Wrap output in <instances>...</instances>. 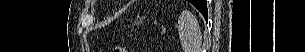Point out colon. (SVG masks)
<instances>
[{"mask_svg":"<svg viewBox=\"0 0 305 52\" xmlns=\"http://www.w3.org/2000/svg\"><path fill=\"white\" fill-rule=\"evenodd\" d=\"M113 52H125V49L121 46H114Z\"/></svg>","mask_w":305,"mask_h":52,"instance_id":"1","label":"colon"}]
</instances>
